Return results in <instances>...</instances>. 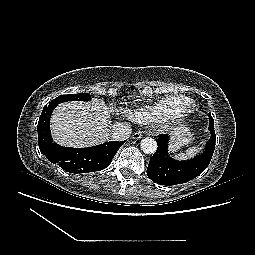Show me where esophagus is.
<instances>
[{
    "instance_id": "obj_1",
    "label": "esophagus",
    "mask_w": 255,
    "mask_h": 255,
    "mask_svg": "<svg viewBox=\"0 0 255 255\" xmlns=\"http://www.w3.org/2000/svg\"><path fill=\"white\" fill-rule=\"evenodd\" d=\"M143 137V133L141 131H136L132 135V139L139 140Z\"/></svg>"
}]
</instances>
